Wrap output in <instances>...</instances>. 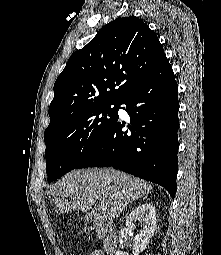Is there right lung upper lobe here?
Listing matches in <instances>:
<instances>
[{
    "label": "right lung upper lobe",
    "instance_id": "obj_1",
    "mask_svg": "<svg viewBox=\"0 0 221 255\" xmlns=\"http://www.w3.org/2000/svg\"><path fill=\"white\" fill-rule=\"evenodd\" d=\"M163 57L157 35L143 20L129 16L108 23L72 54L58 76L49 107L51 121L45 131L83 108L119 103Z\"/></svg>",
    "mask_w": 221,
    "mask_h": 255
}]
</instances>
